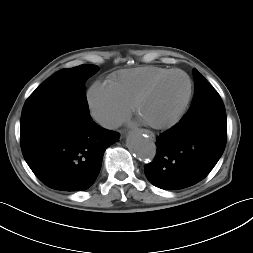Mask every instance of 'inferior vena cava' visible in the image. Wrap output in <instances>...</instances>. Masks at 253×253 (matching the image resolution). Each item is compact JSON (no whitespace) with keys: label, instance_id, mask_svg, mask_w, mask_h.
Wrapping results in <instances>:
<instances>
[{"label":"inferior vena cava","instance_id":"obj_1","mask_svg":"<svg viewBox=\"0 0 253 253\" xmlns=\"http://www.w3.org/2000/svg\"><path fill=\"white\" fill-rule=\"evenodd\" d=\"M97 121L99 122V124L105 128H117L120 125V122L115 120L113 117L111 116H106V115H102L97 117Z\"/></svg>","mask_w":253,"mask_h":253}]
</instances>
